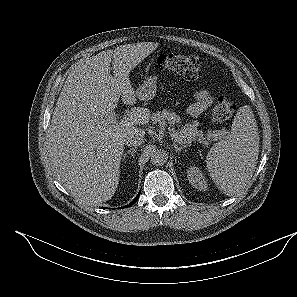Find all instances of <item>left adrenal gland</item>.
I'll return each instance as SVG.
<instances>
[{"label": "left adrenal gland", "mask_w": 297, "mask_h": 297, "mask_svg": "<svg viewBox=\"0 0 297 297\" xmlns=\"http://www.w3.org/2000/svg\"><path fill=\"white\" fill-rule=\"evenodd\" d=\"M173 145H174V148H175V151L176 152H180L183 148H186L188 145H178V144H176L175 142L173 143Z\"/></svg>", "instance_id": "1"}]
</instances>
